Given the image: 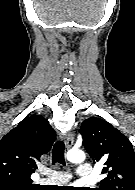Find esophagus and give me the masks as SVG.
<instances>
[{
  "label": "esophagus",
  "mask_w": 135,
  "mask_h": 190,
  "mask_svg": "<svg viewBox=\"0 0 135 190\" xmlns=\"http://www.w3.org/2000/svg\"><path fill=\"white\" fill-rule=\"evenodd\" d=\"M64 141L67 149L71 148L74 143V137L72 133H67L64 137Z\"/></svg>",
  "instance_id": "1"
}]
</instances>
